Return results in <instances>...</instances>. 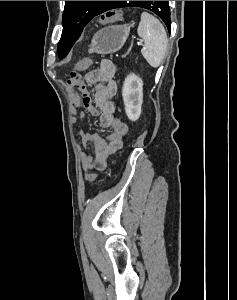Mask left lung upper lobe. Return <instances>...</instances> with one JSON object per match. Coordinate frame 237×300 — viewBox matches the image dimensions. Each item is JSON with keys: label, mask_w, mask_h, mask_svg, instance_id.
Here are the masks:
<instances>
[{"label": "left lung upper lobe", "mask_w": 237, "mask_h": 300, "mask_svg": "<svg viewBox=\"0 0 237 300\" xmlns=\"http://www.w3.org/2000/svg\"><path fill=\"white\" fill-rule=\"evenodd\" d=\"M111 1H65L62 17L63 32L58 43L59 58L67 56L74 43L80 37L84 27L95 17L104 13ZM141 7L157 14L166 24L171 26L169 5L160 8V1H120V8Z\"/></svg>", "instance_id": "5c2ea615"}]
</instances>
